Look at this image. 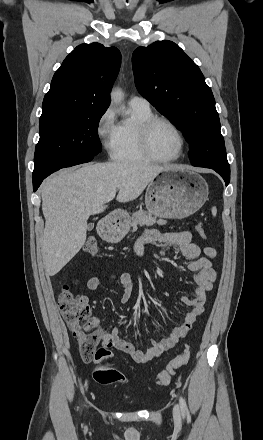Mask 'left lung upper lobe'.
<instances>
[{
  "label": "left lung upper lobe",
  "mask_w": 263,
  "mask_h": 440,
  "mask_svg": "<svg viewBox=\"0 0 263 440\" xmlns=\"http://www.w3.org/2000/svg\"><path fill=\"white\" fill-rule=\"evenodd\" d=\"M137 90L183 132L193 166L230 169L211 89L199 67L171 41L138 47L132 56Z\"/></svg>",
  "instance_id": "left-lung-upper-lobe-1"
}]
</instances>
